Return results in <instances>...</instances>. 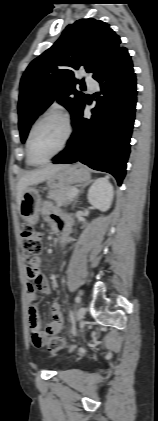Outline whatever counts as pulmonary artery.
I'll return each mask as SVG.
<instances>
[{
	"label": "pulmonary artery",
	"mask_w": 158,
	"mask_h": 421,
	"mask_svg": "<svg viewBox=\"0 0 158 421\" xmlns=\"http://www.w3.org/2000/svg\"><path fill=\"white\" fill-rule=\"evenodd\" d=\"M85 83L87 85V87L89 88L90 91H94L96 88V81L90 77H87L85 79Z\"/></svg>",
	"instance_id": "1"
}]
</instances>
